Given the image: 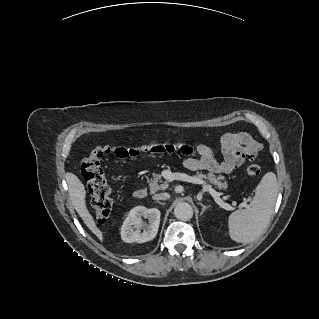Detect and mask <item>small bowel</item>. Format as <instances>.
<instances>
[{
	"mask_svg": "<svg viewBox=\"0 0 319 319\" xmlns=\"http://www.w3.org/2000/svg\"><path fill=\"white\" fill-rule=\"evenodd\" d=\"M223 160L218 161L212 148L207 145L197 147L198 157H186L183 165L191 171L207 170L214 173L230 174L247 160L253 159L259 145L246 133H229L221 139Z\"/></svg>",
	"mask_w": 319,
	"mask_h": 319,
	"instance_id": "obj_1",
	"label": "small bowel"
}]
</instances>
